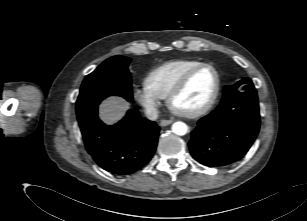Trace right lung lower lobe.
<instances>
[{"instance_id": "1", "label": "right lung lower lobe", "mask_w": 307, "mask_h": 221, "mask_svg": "<svg viewBox=\"0 0 307 221\" xmlns=\"http://www.w3.org/2000/svg\"><path fill=\"white\" fill-rule=\"evenodd\" d=\"M87 152L104 170L128 175L145 166L152 158L160 128L140 116L135 109L113 126L98 118V106L78 117Z\"/></svg>"}]
</instances>
